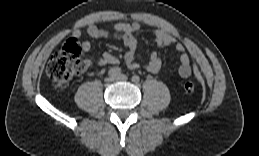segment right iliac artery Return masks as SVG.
I'll list each match as a JSON object with an SVG mask.
<instances>
[{
    "mask_svg": "<svg viewBox=\"0 0 259 156\" xmlns=\"http://www.w3.org/2000/svg\"><path fill=\"white\" fill-rule=\"evenodd\" d=\"M121 74V69L119 67H113L108 71L110 77H116Z\"/></svg>",
    "mask_w": 259,
    "mask_h": 156,
    "instance_id": "1",
    "label": "right iliac artery"
}]
</instances>
